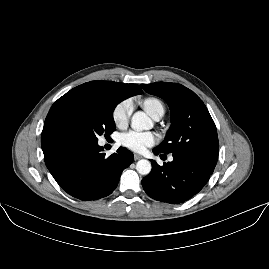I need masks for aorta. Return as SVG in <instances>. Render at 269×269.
Masks as SVG:
<instances>
[{"label":"aorta","mask_w":269,"mask_h":269,"mask_svg":"<svg viewBox=\"0 0 269 269\" xmlns=\"http://www.w3.org/2000/svg\"><path fill=\"white\" fill-rule=\"evenodd\" d=\"M133 129L136 131L149 130L153 127V122L144 112H135L131 119ZM151 163L147 159H141L136 164V170L141 175H148L151 171Z\"/></svg>","instance_id":"aorta-1"}]
</instances>
